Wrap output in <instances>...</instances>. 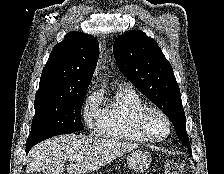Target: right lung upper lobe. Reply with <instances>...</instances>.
Here are the masks:
<instances>
[{
	"label": "right lung upper lobe",
	"instance_id": "obj_1",
	"mask_svg": "<svg viewBox=\"0 0 224 174\" xmlns=\"http://www.w3.org/2000/svg\"><path fill=\"white\" fill-rule=\"evenodd\" d=\"M99 55L98 41L81 32H70L52 50L35 98L85 94Z\"/></svg>",
	"mask_w": 224,
	"mask_h": 174
}]
</instances>
